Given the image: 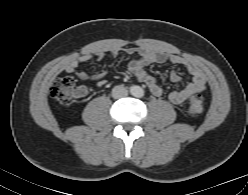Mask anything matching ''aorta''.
Returning <instances> with one entry per match:
<instances>
[{
    "label": "aorta",
    "mask_w": 248,
    "mask_h": 195,
    "mask_svg": "<svg viewBox=\"0 0 248 195\" xmlns=\"http://www.w3.org/2000/svg\"><path fill=\"white\" fill-rule=\"evenodd\" d=\"M132 95L135 97H142L144 95V90L140 86H135L132 88Z\"/></svg>",
    "instance_id": "obj_1"
}]
</instances>
